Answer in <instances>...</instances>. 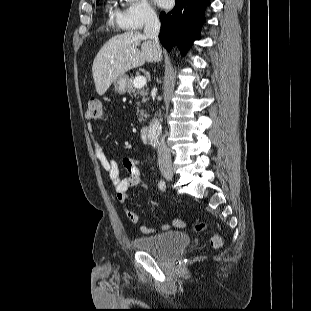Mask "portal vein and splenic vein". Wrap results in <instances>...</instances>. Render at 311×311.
<instances>
[{
  "mask_svg": "<svg viewBox=\"0 0 311 311\" xmlns=\"http://www.w3.org/2000/svg\"><path fill=\"white\" fill-rule=\"evenodd\" d=\"M146 78L144 76H137L133 81V85L135 88H142L146 85Z\"/></svg>",
  "mask_w": 311,
  "mask_h": 311,
  "instance_id": "portal-vein-and-splenic-vein-1",
  "label": "portal vein and splenic vein"
}]
</instances>
